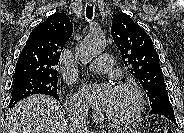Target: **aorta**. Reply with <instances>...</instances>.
<instances>
[{
	"instance_id": "obj_1",
	"label": "aorta",
	"mask_w": 184,
	"mask_h": 133,
	"mask_svg": "<svg viewBox=\"0 0 184 133\" xmlns=\"http://www.w3.org/2000/svg\"><path fill=\"white\" fill-rule=\"evenodd\" d=\"M106 47L105 39L100 34H89L77 46L76 54L82 64L91 62Z\"/></svg>"
}]
</instances>
